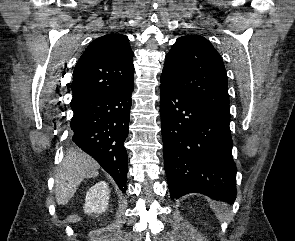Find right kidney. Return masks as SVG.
Here are the masks:
<instances>
[{
  "label": "right kidney",
  "instance_id": "1",
  "mask_svg": "<svg viewBox=\"0 0 295 241\" xmlns=\"http://www.w3.org/2000/svg\"><path fill=\"white\" fill-rule=\"evenodd\" d=\"M109 187L105 181L92 186L86 193L84 212L87 214H101L108 207Z\"/></svg>",
  "mask_w": 295,
  "mask_h": 241
}]
</instances>
